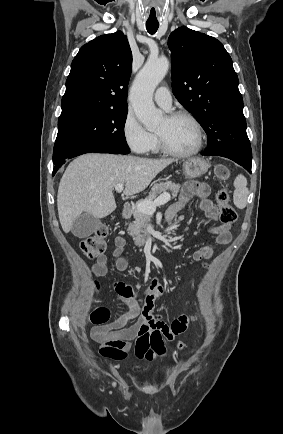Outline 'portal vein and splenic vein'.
I'll return each mask as SVG.
<instances>
[{"label":"portal vein and splenic vein","instance_id":"obj_1","mask_svg":"<svg viewBox=\"0 0 283 434\" xmlns=\"http://www.w3.org/2000/svg\"><path fill=\"white\" fill-rule=\"evenodd\" d=\"M123 189H124L123 184H117L115 186V190L118 193L122 192ZM169 200H170V194L169 193H163L154 201H142V202L138 203L137 208L143 213L152 214L155 212L157 206L164 205Z\"/></svg>","mask_w":283,"mask_h":434}]
</instances>
